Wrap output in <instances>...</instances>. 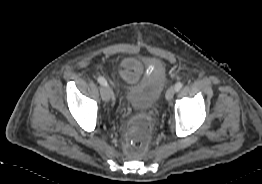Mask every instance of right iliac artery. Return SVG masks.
<instances>
[{
	"instance_id": "1",
	"label": "right iliac artery",
	"mask_w": 262,
	"mask_h": 184,
	"mask_svg": "<svg viewBox=\"0 0 262 184\" xmlns=\"http://www.w3.org/2000/svg\"><path fill=\"white\" fill-rule=\"evenodd\" d=\"M97 81H98L101 85H103V86H107V85H108L107 81H106L103 77H98V78H97Z\"/></svg>"
}]
</instances>
